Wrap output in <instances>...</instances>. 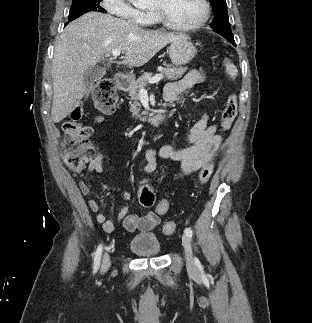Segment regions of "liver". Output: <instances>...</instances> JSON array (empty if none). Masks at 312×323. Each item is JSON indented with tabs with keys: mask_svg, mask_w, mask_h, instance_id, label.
I'll use <instances>...</instances> for the list:
<instances>
[{
	"mask_svg": "<svg viewBox=\"0 0 312 323\" xmlns=\"http://www.w3.org/2000/svg\"><path fill=\"white\" fill-rule=\"evenodd\" d=\"M179 34L149 32L127 20L109 14L88 12L66 26L56 38L52 66L54 124L64 120L84 98L83 74L90 66L104 60L106 54L119 50L126 56L129 68L147 64Z\"/></svg>",
	"mask_w": 312,
	"mask_h": 323,
	"instance_id": "obj_1",
	"label": "liver"
}]
</instances>
